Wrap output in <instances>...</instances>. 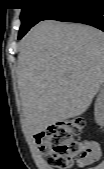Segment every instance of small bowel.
I'll return each instance as SVG.
<instances>
[{
	"label": "small bowel",
	"instance_id": "small-bowel-1",
	"mask_svg": "<svg viewBox=\"0 0 104 169\" xmlns=\"http://www.w3.org/2000/svg\"><path fill=\"white\" fill-rule=\"evenodd\" d=\"M93 144H94V146L98 149L99 154H100V153H101V147H100L99 143L93 141Z\"/></svg>",
	"mask_w": 104,
	"mask_h": 169
}]
</instances>
